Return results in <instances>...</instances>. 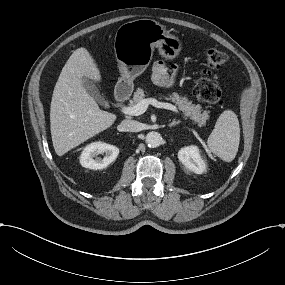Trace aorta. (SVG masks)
I'll list each match as a JSON object with an SVG mask.
<instances>
[{"label": "aorta", "instance_id": "1", "mask_svg": "<svg viewBox=\"0 0 285 285\" xmlns=\"http://www.w3.org/2000/svg\"><path fill=\"white\" fill-rule=\"evenodd\" d=\"M162 138L158 132H149L145 137V142L149 147H158L161 144Z\"/></svg>", "mask_w": 285, "mask_h": 285}]
</instances>
